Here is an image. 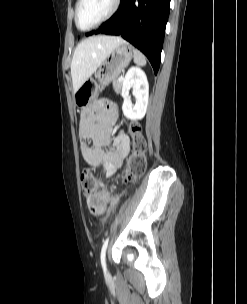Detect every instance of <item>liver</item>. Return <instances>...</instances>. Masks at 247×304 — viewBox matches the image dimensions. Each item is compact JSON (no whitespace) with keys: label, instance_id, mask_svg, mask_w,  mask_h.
Masks as SVG:
<instances>
[{"label":"liver","instance_id":"liver-1","mask_svg":"<svg viewBox=\"0 0 247 304\" xmlns=\"http://www.w3.org/2000/svg\"><path fill=\"white\" fill-rule=\"evenodd\" d=\"M126 43L120 37L92 36L75 48L71 62L73 90L76 92L98 69L106 57L119 45Z\"/></svg>","mask_w":247,"mask_h":304}]
</instances>
